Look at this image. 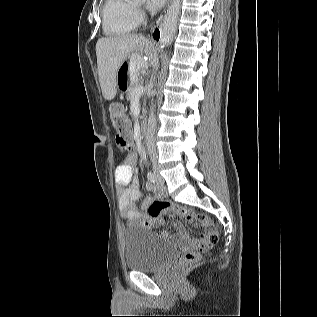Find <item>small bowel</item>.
I'll return each instance as SVG.
<instances>
[{
    "instance_id": "obj_1",
    "label": "small bowel",
    "mask_w": 317,
    "mask_h": 317,
    "mask_svg": "<svg viewBox=\"0 0 317 317\" xmlns=\"http://www.w3.org/2000/svg\"><path fill=\"white\" fill-rule=\"evenodd\" d=\"M136 159L134 154L128 156L116 169L115 182L118 192V203L122 219L129 225L141 224L148 228H155L162 223L159 218H151L147 214V208L152 202L153 198L143 197L142 193L138 189V179L134 174L133 163ZM150 181V180H149ZM146 189L154 191V197L159 199L166 195V192L162 188L155 187L152 183L148 182L145 185ZM141 202V206L138 208L137 203ZM196 216L192 213L187 216L188 220H194ZM202 222L203 226L209 224V221L205 218L197 216ZM174 227L178 234L182 237L186 236L184 226L175 222ZM164 236H167V232H163Z\"/></svg>"
}]
</instances>
